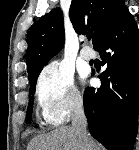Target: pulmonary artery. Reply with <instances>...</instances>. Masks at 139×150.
I'll return each mask as SVG.
<instances>
[{"label":"pulmonary artery","instance_id":"e3ab8cb5","mask_svg":"<svg viewBox=\"0 0 139 150\" xmlns=\"http://www.w3.org/2000/svg\"><path fill=\"white\" fill-rule=\"evenodd\" d=\"M80 56L84 60H91L95 57V52L89 47H84L80 51Z\"/></svg>","mask_w":139,"mask_h":150}]
</instances>
